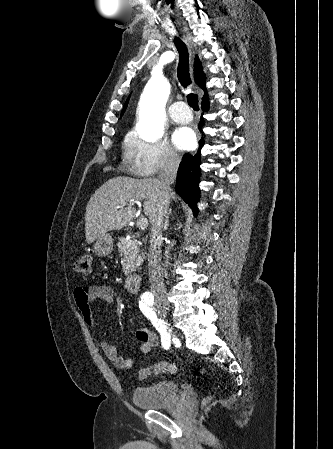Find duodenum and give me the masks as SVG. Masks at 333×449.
Segmentation results:
<instances>
[{
    "label": "duodenum",
    "instance_id": "410a0bca",
    "mask_svg": "<svg viewBox=\"0 0 333 449\" xmlns=\"http://www.w3.org/2000/svg\"><path fill=\"white\" fill-rule=\"evenodd\" d=\"M141 285V276L136 273L132 272L127 275L124 281V288L129 293H137L140 289Z\"/></svg>",
    "mask_w": 333,
    "mask_h": 449
}]
</instances>
